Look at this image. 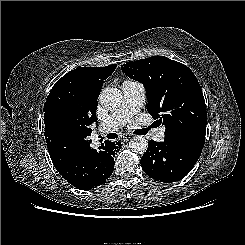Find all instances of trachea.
<instances>
[{
  "instance_id": "obj_1",
  "label": "trachea",
  "mask_w": 245,
  "mask_h": 245,
  "mask_svg": "<svg viewBox=\"0 0 245 245\" xmlns=\"http://www.w3.org/2000/svg\"><path fill=\"white\" fill-rule=\"evenodd\" d=\"M152 127H154V126L151 125L149 128L141 129V130H140V134H141V135L147 134L148 130H149L150 128H152ZM106 137L109 138V139H115V138L118 137V135H117L116 133H109V134H107Z\"/></svg>"
}]
</instances>
